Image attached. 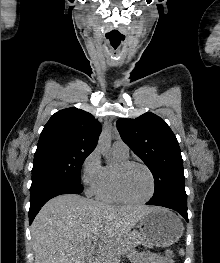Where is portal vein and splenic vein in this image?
<instances>
[{
	"label": "portal vein and splenic vein",
	"mask_w": 220,
	"mask_h": 263,
	"mask_svg": "<svg viewBox=\"0 0 220 263\" xmlns=\"http://www.w3.org/2000/svg\"><path fill=\"white\" fill-rule=\"evenodd\" d=\"M94 241H96V240H94ZM94 245L93 246H91V248H90V246H89V250L92 252L93 250H94Z\"/></svg>",
	"instance_id": "18ae733b"
}]
</instances>
